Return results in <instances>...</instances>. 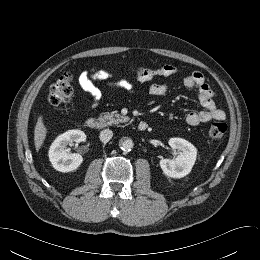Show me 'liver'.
<instances>
[{"mask_svg": "<svg viewBox=\"0 0 260 260\" xmlns=\"http://www.w3.org/2000/svg\"><path fill=\"white\" fill-rule=\"evenodd\" d=\"M46 134L47 128L43 123V117L39 116L34 130V144L37 151L41 148L46 138Z\"/></svg>", "mask_w": 260, "mask_h": 260, "instance_id": "liver-1", "label": "liver"}]
</instances>
